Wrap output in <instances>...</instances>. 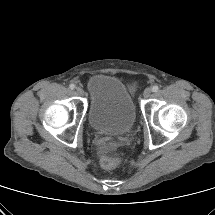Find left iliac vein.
Here are the masks:
<instances>
[{
	"label": "left iliac vein",
	"instance_id": "obj_1",
	"mask_svg": "<svg viewBox=\"0 0 215 215\" xmlns=\"http://www.w3.org/2000/svg\"><path fill=\"white\" fill-rule=\"evenodd\" d=\"M151 93H152V89L151 88H146L144 90V93H143L144 98H149L151 96Z\"/></svg>",
	"mask_w": 215,
	"mask_h": 215
}]
</instances>
